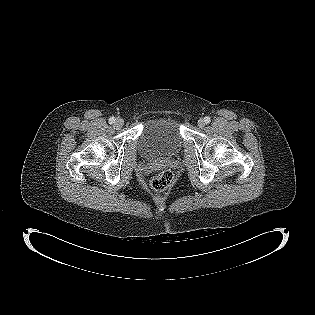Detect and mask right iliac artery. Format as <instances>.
<instances>
[{
    "label": "right iliac artery",
    "mask_w": 315,
    "mask_h": 315,
    "mask_svg": "<svg viewBox=\"0 0 315 315\" xmlns=\"http://www.w3.org/2000/svg\"><path fill=\"white\" fill-rule=\"evenodd\" d=\"M115 120H116V119H115L114 117H110V118H109V123H110V124H113V123H115Z\"/></svg>",
    "instance_id": "82829eb1"
}]
</instances>
